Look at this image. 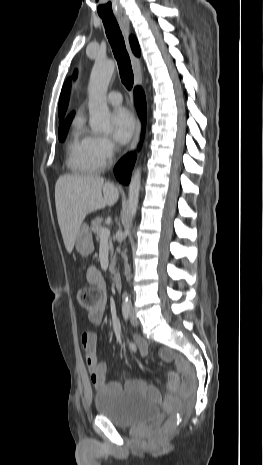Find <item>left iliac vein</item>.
<instances>
[{"mask_svg":"<svg viewBox=\"0 0 263 465\" xmlns=\"http://www.w3.org/2000/svg\"><path fill=\"white\" fill-rule=\"evenodd\" d=\"M130 321H131V324H132L133 326H137V325H138V319H137V317H136L135 312H134L133 309H132L131 312H130Z\"/></svg>","mask_w":263,"mask_h":465,"instance_id":"1","label":"left iliac vein"}]
</instances>
